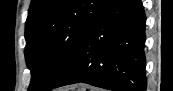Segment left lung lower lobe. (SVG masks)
Instances as JSON below:
<instances>
[{
  "label": "left lung lower lobe",
  "instance_id": "0a47b994",
  "mask_svg": "<svg viewBox=\"0 0 173 91\" xmlns=\"http://www.w3.org/2000/svg\"><path fill=\"white\" fill-rule=\"evenodd\" d=\"M145 27L140 0H111L54 88L82 82L113 91H145Z\"/></svg>",
  "mask_w": 173,
  "mask_h": 91
}]
</instances>
